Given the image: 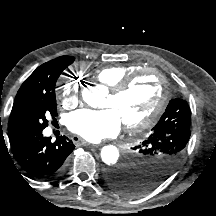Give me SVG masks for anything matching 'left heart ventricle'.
<instances>
[{"label": "left heart ventricle", "mask_w": 216, "mask_h": 216, "mask_svg": "<svg viewBox=\"0 0 216 216\" xmlns=\"http://www.w3.org/2000/svg\"><path fill=\"white\" fill-rule=\"evenodd\" d=\"M160 93L161 84L158 76L154 73H146L119 97L109 95L105 107L112 108L123 123L134 124L149 115Z\"/></svg>", "instance_id": "left-heart-ventricle-1"}]
</instances>
